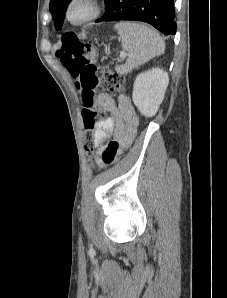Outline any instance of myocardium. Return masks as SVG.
Masks as SVG:
<instances>
[{"label": "myocardium", "instance_id": "1", "mask_svg": "<svg viewBox=\"0 0 227 298\" xmlns=\"http://www.w3.org/2000/svg\"><path fill=\"white\" fill-rule=\"evenodd\" d=\"M79 0H70L66 7V18L73 25H82L96 19L101 13V3L99 0H88L91 5V12L80 20H73L71 17V8Z\"/></svg>", "mask_w": 227, "mask_h": 298}]
</instances>
